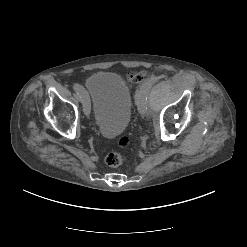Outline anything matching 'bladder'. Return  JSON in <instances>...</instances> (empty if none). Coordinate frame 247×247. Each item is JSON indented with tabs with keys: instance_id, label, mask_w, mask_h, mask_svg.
<instances>
[{
	"instance_id": "1",
	"label": "bladder",
	"mask_w": 247,
	"mask_h": 247,
	"mask_svg": "<svg viewBox=\"0 0 247 247\" xmlns=\"http://www.w3.org/2000/svg\"><path fill=\"white\" fill-rule=\"evenodd\" d=\"M86 90L98 131L105 137L124 131L133 107L132 94L124 79L113 72H98L88 77Z\"/></svg>"
}]
</instances>
